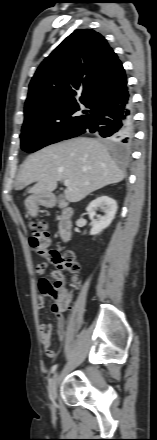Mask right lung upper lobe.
<instances>
[{
  "mask_svg": "<svg viewBox=\"0 0 157 440\" xmlns=\"http://www.w3.org/2000/svg\"><path fill=\"white\" fill-rule=\"evenodd\" d=\"M129 96L122 63L106 39L94 30L79 29L37 69L29 85L24 123L84 125ZM82 106L89 114L77 116Z\"/></svg>",
  "mask_w": 157,
  "mask_h": 440,
  "instance_id": "right-lung-upper-lobe-1",
  "label": "right lung upper lobe"
}]
</instances>
